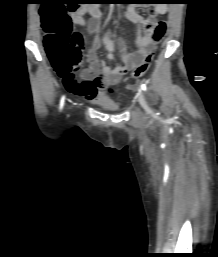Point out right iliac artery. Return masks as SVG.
<instances>
[{
	"mask_svg": "<svg viewBox=\"0 0 218 257\" xmlns=\"http://www.w3.org/2000/svg\"><path fill=\"white\" fill-rule=\"evenodd\" d=\"M64 100H65V96H62L61 101H60V110L63 108Z\"/></svg>",
	"mask_w": 218,
	"mask_h": 257,
	"instance_id": "1",
	"label": "right iliac artery"
}]
</instances>
